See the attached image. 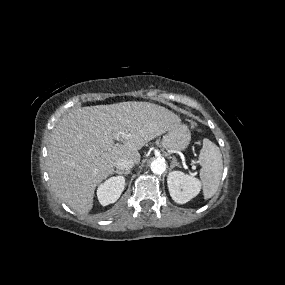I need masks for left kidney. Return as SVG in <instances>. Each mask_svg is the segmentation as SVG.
I'll use <instances>...</instances> for the list:
<instances>
[{
    "instance_id": "left-kidney-1",
    "label": "left kidney",
    "mask_w": 285,
    "mask_h": 285,
    "mask_svg": "<svg viewBox=\"0 0 285 285\" xmlns=\"http://www.w3.org/2000/svg\"><path fill=\"white\" fill-rule=\"evenodd\" d=\"M168 189L172 199L179 204H184L194 198L201 189L198 179L184 174L181 171H172L167 179Z\"/></svg>"
}]
</instances>
